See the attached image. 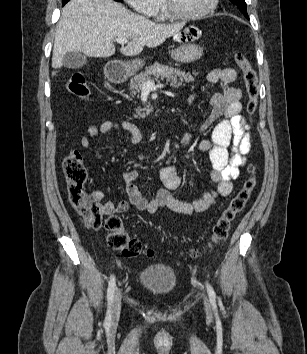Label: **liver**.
Returning a JSON list of instances; mask_svg holds the SVG:
<instances>
[{"label":"liver","instance_id":"liver-1","mask_svg":"<svg viewBox=\"0 0 307 354\" xmlns=\"http://www.w3.org/2000/svg\"><path fill=\"white\" fill-rule=\"evenodd\" d=\"M185 23L158 24L134 14L113 0H70L62 9L52 55V67L63 65L68 52L89 57H110L115 53L114 41L128 39L120 49L126 56H136L147 46L161 45L176 35ZM56 72H53L54 76Z\"/></svg>","mask_w":307,"mask_h":354}]
</instances>
